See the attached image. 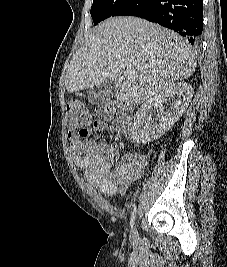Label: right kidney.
I'll return each mask as SVG.
<instances>
[{"label":"right kidney","mask_w":227,"mask_h":267,"mask_svg":"<svg viewBox=\"0 0 227 267\" xmlns=\"http://www.w3.org/2000/svg\"><path fill=\"white\" fill-rule=\"evenodd\" d=\"M193 96L192 86L184 81L171 84L159 94L148 99L136 112L131 127V139L135 143H147L161 137L179 120ZM169 100L164 111L163 102ZM157 116L152 119V111Z\"/></svg>","instance_id":"obj_1"}]
</instances>
